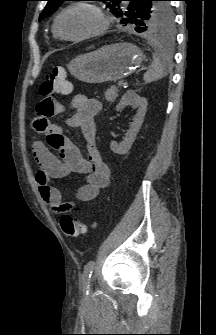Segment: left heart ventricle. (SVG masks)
<instances>
[{
	"instance_id": "left-heart-ventricle-1",
	"label": "left heart ventricle",
	"mask_w": 216,
	"mask_h": 335,
	"mask_svg": "<svg viewBox=\"0 0 216 335\" xmlns=\"http://www.w3.org/2000/svg\"><path fill=\"white\" fill-rule=\"evenodd\" d=\"M98 24L99 19L94 12L78 7L63 14L59 21V28L64 35L73 37L94 29Z\"/></svg>"
}]
</instances>
